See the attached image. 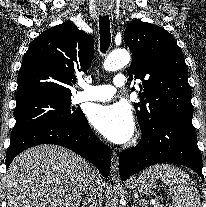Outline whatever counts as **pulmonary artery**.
Returning <instances> with one entry per match:
<instances>
[{
  "instance_id": "1",
  "label": "pulmonary artery",
  "mask_w": 206,
  "mask_h": 207,
  "mask_svg": "<svg viewBox=\"0 0 206 207\" xmlns=\"http://www.w3.org/2000/svg\"><path fill=\"white\" fill-rule=\"evenodd\" d=\"M126 84V77L123 74H117L113 78V85H83L84 91L78 92L74 96V101H104L112 98L116 92V87Z\"/></svg>"
}]
</instances>
